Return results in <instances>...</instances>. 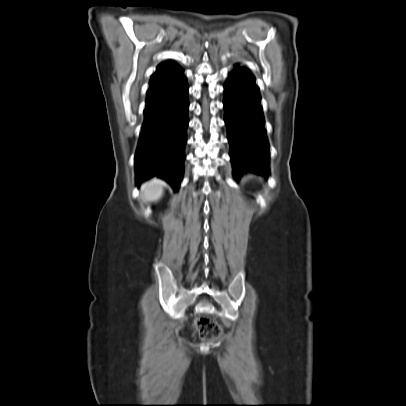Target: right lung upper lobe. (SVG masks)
<instances>
[{
  "mask_svg": "<svg viewBox=\"0 0 406 406\" xmlns=\"http://www.w3.org/2000/svg\"><path fill=\"white\" fill-rule=\"evenodd\" d=\"M178 65L174 62H165L161 64L156 72L153 74L150 84L162 80L165 78L172 68H176Z\"/></svg>",
  "mask_w": 406,
  "mask_h": 406,
  "instance_id": "1",
  "label": "right lung upper lobe"
}]
</instances>
